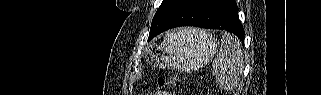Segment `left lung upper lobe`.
Returning <instances> with one entry per match:
<instances>
[{
  "label": "left lung upper lobe",
  "mask_w": 321,
  "mask_h": 95,
  "mask_svg": "<svg viewBox=\"0 0 321 95\" xmlns=\"http://www.w3.org/2000/svg\"><path fill=\"white\" fill-rule=\"evenodd\" d=\"M174 0H163L160 7L157 9V12L152 20V25L150 28V34L156 29Z\"/></svg>",
  "instance_id": "5c2ea615"
}]
</instances>
